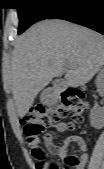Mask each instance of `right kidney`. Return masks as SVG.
Here are the masks:
<instances>
[{"label":"right kidney","mask_w":104,"mask_h":169,"mask_svg":"<svg viewBox=\"0 0 104 169\" xmlns=\"http://www.w3.org/2000/svg\"><path fill=\"white\" fill-rule=\"evenodd\" d=\"M96 86L102 88L104 86V70H101L96 79ZM91 125L96 129L104 126V113L98 107H94L90 112Z\"/></svg>","instance_id":"right-kidney-1"}]
</instances>
